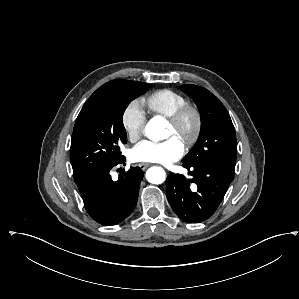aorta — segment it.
<instances>
[{"instance_id": "762f6f07", "label": "aorta", "mask_w": 299, "mask_h": 299, "mask_svg": "<svg viewBox=\"0 0 299 299\" xmlns=\"http://www.w3.org/2000/svg\"><path fill=\"white\" fill-rule=\"evenodd\" d=\"M167 121L161 116L149 120L145 127L146 136L152 141H159L166 137ZM166 173L161 167H151L146 172V179L152 184H161L165 181Z\"/></svg>"}]
</instances>
